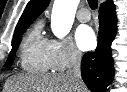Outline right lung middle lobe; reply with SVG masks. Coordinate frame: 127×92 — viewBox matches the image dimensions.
Segmentation results:
<instances>
[{
  "instance_id": "right-lung-middle-lobe-1",
  "label": "right lung middle lobe",
  "mask_w": 127,
  "mask_h": 92,
  "mask_svg": "<svg viewBox=\"0 0 127 92\" xmlns=\"http://www.w3.org/2000/svg\"><path fill=\"white\" fill-rule=\"evenodd\" d=\"M29 26L27 27H24L18 31H16L14 33V37H13V40H12V50L7 58V61H6V64H5V67H10L12 66L13 64V60H14V57H15V54H16V50L21 42V38H22V34L25 32V30L28 28Z\"/></svg>"
}]
</instances>
